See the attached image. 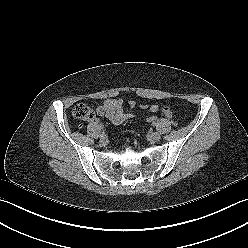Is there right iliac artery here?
<instances>
[{"mask_svg":"<svg viewBox=\"0 0 248 248\" xmlns=\"http://www.w3.org/2000/svg\"><path fill=\"white\" fill-rule=\"evenodd\" d=\"M100 127H101V129H104V125H101ZM103 133H104V132H103Z\"/></svg>","mask_w":248,"mask_h":248,"instance_id":"right-iliac-artery-1","label":"right iliac artery"}]
</instances>
